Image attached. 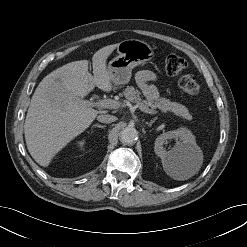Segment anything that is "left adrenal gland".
Listing matches in <instances>:
<instances>
[{
  "mask_svg": "<svg viewBox=\"0 0 247 247\" xmlns=\"http://www.w3.org/2000/svg\"><path fill=\"white\" fill-rule=\"evenodd\" d=\"M156 120H157V118H154L153 120H151V122L146 123V124H147L149 127H151L152 124H153Z\"/></svg>",
  "mask_w": 247,
  "mask_h": 247,
  "instance_id": "obj_1",
  "label": "left adrenal gland"
}]
</instances>
